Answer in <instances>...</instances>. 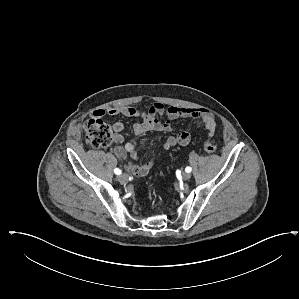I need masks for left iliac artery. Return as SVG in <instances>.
<instances>
[{
  "label": "left iliac artery",
  "instance_id": "1",
  "mask_svg": "<svg viewBox=\"0 0 299 299\" xmlns=\"http://www.w3.org/2000/svg\"><path fill=\"white\" fill-rule=\"evenodd\" d=\"M185 171H186L187 173H190V172L192 171V168L188 166V167H186Z\"/></svg>",
  "mask_w": 299,
  "mask_h": 299
}]
</instances>
